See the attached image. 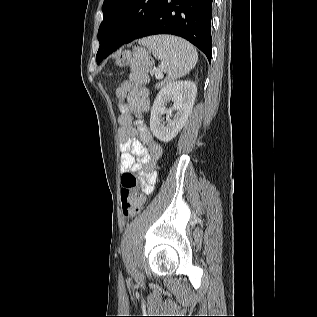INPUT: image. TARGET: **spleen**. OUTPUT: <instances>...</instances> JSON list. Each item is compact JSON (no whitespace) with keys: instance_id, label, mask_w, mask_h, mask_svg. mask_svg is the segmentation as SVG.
Instances as JSON below:
<instances>
[{"instance_id":"obj_1","label":"spleen","mask_w":317,"mask_h":317,"mask_svg":"<svg viewBox=\"0 0 317 317\" xmlns=\"http://www.w3.org/2000/svg\"><path fill=\"white\" fill-rule=\"evenodd\" d=\"M140 44L146 46L155 58L161 60V69L167 73V79L159 83L157 88L183 77L198 61L196 49L179 37L170 35L147 37L142 39Z\"/></svg>"}]
</instances>
